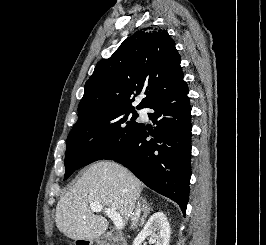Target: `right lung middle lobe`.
Masks as SVG:
<instances>
[{
  "label": "right lung middle lobe",
  "mask_w": 266,
  "mask_h": 245,
  "mask_svg": "<svg viewBox=\"0 0 266 245\" xmlns=\"http://www.w3.org/2000/svg\"><path fill=\"white\" fill-rule=\"evenodd\" d=\"M137 116L134 108L118 107L79 119L67 139L64 180L78 168L126 147L141 125L135 121Z\"/></svg>",
  "instance_id": "right-lung-middle-lobe-1"
}]
</instances>
